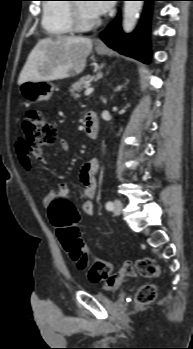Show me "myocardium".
Instances as JSON below:
<instances>
[{"instance_id": "myocardium-1", "label": "myocardium", "mask_w": 193, "mask_h": 349, "mask_svg": "<svg viewBox=\"0 0 193 349\" xmlns=\"http://www.w3.org/2000/svg\"><path fill=\"white\" fill-rule=\"evenodd\" d=\"M70 20L73 30L78 32L90 30L100 22V19L97 16H86L80 2H74L71 4Z\"/></svg>"}]
</instances>
